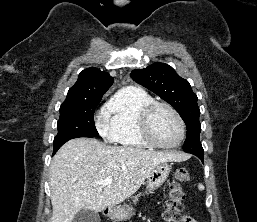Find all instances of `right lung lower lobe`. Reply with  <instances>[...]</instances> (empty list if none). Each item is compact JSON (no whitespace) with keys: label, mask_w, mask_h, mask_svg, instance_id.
<instances>
[{"label":"right lung lower lobe","mask_w":257,"mask_h":222,"mask_svg":"<svg viewBox=\"0 0 257 222\" xmlns=\"http://www.w3.org/2000/svg\"><path fill=\"white\" fill-rule=\"evenodd\" d=\"M58 149L59 148H56V149L53 150V155L57 152Z\"/></svg>","instance_id":"1"}]
</instances>
